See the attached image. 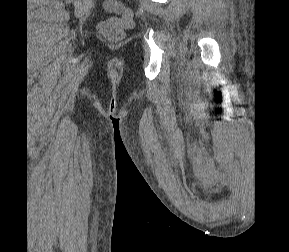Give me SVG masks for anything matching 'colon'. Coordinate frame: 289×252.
Segmentation results:
<instances>
[{"mask_svg": "<svg viewBox=\"0 0 289 252\" xmlns=\"http://www.w3.org/2000/svg\"><path fill=\"white\" fill-rule=\"evenodd\" d=\"M105 8L107 11L120 16L101 22L99 31L108 39L120 40L123 37V29L132 24L133 12L118 0H106Z\"/></svg>", "mask_w": 289, "mask_h": 252, "instance_id": "1", "label": "colon"}]
</instances>
